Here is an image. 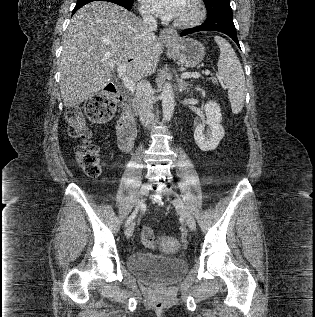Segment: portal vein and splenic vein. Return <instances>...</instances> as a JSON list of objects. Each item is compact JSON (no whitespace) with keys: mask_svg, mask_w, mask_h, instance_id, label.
<instances>
[{"mask_svg":"<svg viewBox=\"0 0 315 317\" xmlns=\"http://www.w3.org/2000/svg\"><path fill=\"white\" fill-rule=\"evenodd\" d=\"M126 64L122 63L121 65L118 66V73L124 83V85L129 89V90H134L135 89V84L134 82L126 75ZM205 75H210V71L206 70ZM201 75L198 72H185L182 73L181 78H199Z\"/></svg>","mask_w":315,"mask_h":317,"instance_id":"1","label":"portal vein and splenic vein"}]
</instances>
